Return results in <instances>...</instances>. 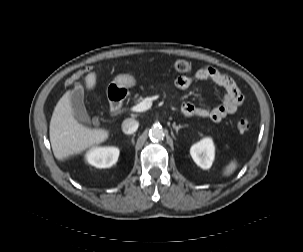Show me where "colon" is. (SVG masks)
<instances>
[{"instance_id":"1","label":"colon","mask_w":303,"mask_h":252,"mask_svg":"<svg viewBox=\"0 0 303 252\" xmlns=\"http://www.w3.org/2000/svg\"><path fill=\"white\" fill-rule=\"evenodd\" d=\"M172 67L175 71L179 72V73H189L192 71L193 66L189 61L186 60H175L172 64ZM82 75V73L74 76L71 80H75L78 77H80ZM251 128L250 122L247 119H239L237 122V130L244 134L249 132Z\"/></svg>"}]
</instances>
